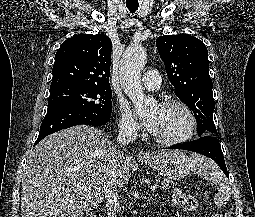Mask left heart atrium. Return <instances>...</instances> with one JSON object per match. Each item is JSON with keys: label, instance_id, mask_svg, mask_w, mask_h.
I'll list each match as a JSON object with an SVG mask.
<instances>
[{"label": "left heart atrium", "instance_id": "left-heart-atrium-1", "mask_svg": "<svg viewBox=\"0 0 255 217\" xmlns=\"http://www.w3.org/2000/svg\"><path fill=\"white\" fill-rule=\"evenodd\" d=\"M156 124H157V115L153 114L152 116L148 117L145 126L148 131L154 133L156 129Z\"/></svg>", "mask_w": 255, "mask_h": 217}]
</instances>
